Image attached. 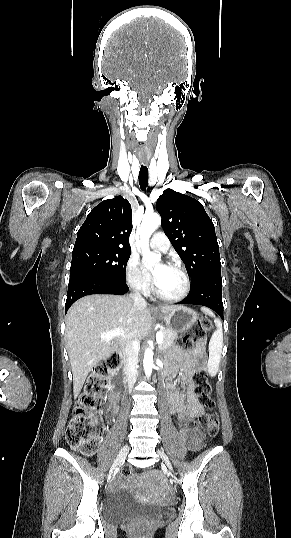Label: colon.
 I'll return each instance as SVG.
<instances>
[{"label": "colon", "instance_id": "colon-1", "mask_svg": "<svg viewBox=\"0 0 291 538\" xmlns=\"http://www.w3.org/2000/svg\"><path fill=\"white\" fill-rule=\"evenodd\" d=\"M211 326V321L203 317L187 330L177 343L184 349H190L197 339L210 330ZM120 357L119 353L111 354L89 374L66 430V441L70 447L82 448L88 454L96 448L102 432L98 412L104 404L106 383L110 376L117 372ZM192 381L196 387L200 403L209 410L200 417L197 429L210 437H215L219 429V419L218 415L213 412L215 403L211 396L212 386L207 373L203 369L196 370L192 375ZM130 476L131 471L125 470V479ZM144 535L145 528L142 525L138 526L136 537L143 538Z\"/></svg>", "mask_w": 291, "mask_h": 538}]
</instances>
